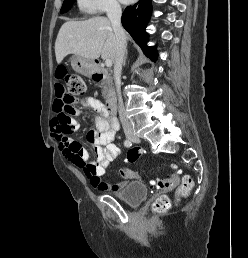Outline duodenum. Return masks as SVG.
<instances>
[{"mask_svg": "<svg viewBox=\"0 0 248 258\" xmlns=\"http://www.w3.org/2000/svg\"><path fill=\"white\" fill-rule=\"evenodd\" d=\"M92 77L95 81H100L103 78L108 77V73L103 70L98 63L94 65L92 71ZM106 109L109 115L114 116L117 110V99L114 93H110L107 98Z\"/></svg>", "mask_w": 248, "mask_h": 258, "instance_id": "410a0bca", "label": "duodenum"}]
</instances>
